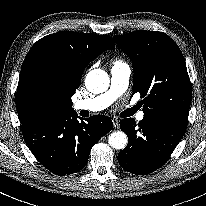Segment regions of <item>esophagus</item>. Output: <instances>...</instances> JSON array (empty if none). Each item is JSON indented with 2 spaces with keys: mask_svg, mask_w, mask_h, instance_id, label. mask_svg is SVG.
<instances>
[{
  "mask_svg": "<svg viewBox=\"0 0 206 206\" xmlns=\"http://www.w3.org/2000/svg\"><path fill=\"white\" fill-rule=\"evenodd\" d=\"M113 125L115 128H119V121L117 119H113Z\"/></svg>",
  "mask_w": 206,
  "mask_h": 206,
  "instance_id": "34e87169",
  "label": "esophagus"
}]
</instances>
